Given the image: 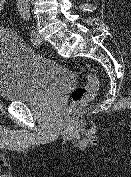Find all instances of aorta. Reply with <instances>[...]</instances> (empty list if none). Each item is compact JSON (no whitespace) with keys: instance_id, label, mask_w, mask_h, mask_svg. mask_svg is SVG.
<instances>
[{"instance_id":"obj_1","label":"aorta","mask_w":131,"mask_h":177,"mask_svg":"<svg viewBox=\"0 0 131 177\" xmlns=\"http://www.w3.org/2000/svg\"><path fill=\"white\" fill-rule=\"evenodd\" d=\"M19 2H25L28 3L29 0H18Z\"/></svg>"}]
</instances>
